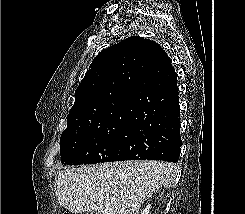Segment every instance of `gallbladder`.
<instances>
[{"label": "gallbladder", "mask_w": 245, "mask_h": 214, "mask_svg": "<svg viewBox=\"0 0 245 214\" xmlns=\"http://www.w3.org/2000/svg\"><path fill=\"white\" fill-rule=\"evenodd\" d=\"M85 214H102V213L99 211L90 210V211H87Z\"/></svg>", "instance_id": "1"}]
</instances>
